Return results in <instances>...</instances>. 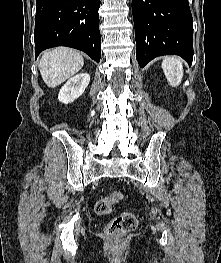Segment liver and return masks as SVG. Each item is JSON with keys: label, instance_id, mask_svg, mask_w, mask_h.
Returning <instances> with one entry per match:
<instances>
[{"label": "liver", "instance_id": "obj_1", "mask_svg": "<svg viewBox=\"0 0 221 263\" xmlns=\"http://www.w3.org/2000/svg\"><path fill=\"white\" fill-rule=\"evenodd\" d=\"M83 65L84 59L78 51L58 47L42 54L39 70L46 85L54 88L75 75Z\"/></svg>", "mask_w": 221, "mask_h": 263}]
</instances>
